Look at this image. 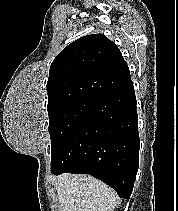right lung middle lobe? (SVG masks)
<instances>
[{
	"instance_id": "right-lung-middle-lobe-1",
	"label": "right lung middle lobe",
	"mask_w": 178,
	"mask_h": 211,
	"mask_svg": "<svg viewBox=\"0 0 178 211\" xmlns=\"http://www.w3.org/2000/svg\"><path fill=\"white\" fill-rule=\"evenodd\" d=\"M96 102L93 99H77L48 108L51 155Z\"/></svg>"
}]
</instances>
